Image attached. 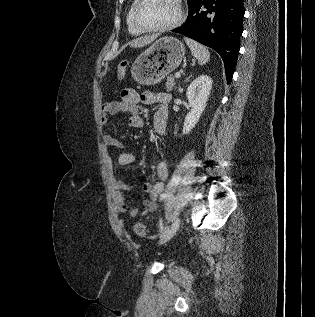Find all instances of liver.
Instances as JSON below:
<instances>
[{"instance_id": "obj_1", "label": "liver", "mask_w": 315, "mask_h": 317, "mask_svg": "<svg viewBox=\"0 0 315 317\" xmlns=\"http://www.w3.org/2000/svg\"><path fill=\"white\" fill-rule=\"evenodd\" d=\"M158 36L157 35H152V36H145V37H139L134 40H132L129 45L132 48H140L144 47L151 42H153Z\"/></svg>"}]
</instances>
